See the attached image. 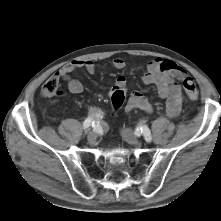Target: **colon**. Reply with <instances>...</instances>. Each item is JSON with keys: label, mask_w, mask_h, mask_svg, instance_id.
Instances as JSON below:
<instances>
[{"label": "colon", "mask_w": 221, "mask_h": 221, "mask_svg": "<svg viewBox=\"0 0 221 221\" xmlns=\"http://www.w3.org/2000/svg\"><path fill=\"white\" fill-rule=\"evenodd\" d=\"M182 82L188 98L192 101L197 100L198 91L193 79L186 76L183 78ZM60 93L59 79L55 76L49 77L41 87V94L44 97H52ZM125 97L126 92L122 88H117L111 93V106L113 111H117L123 105Z\"/></svg>", "instance_id": "1"}]
</instances>
